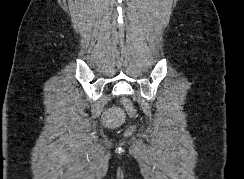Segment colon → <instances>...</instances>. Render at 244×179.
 Returning a JSON list of instances; mask_svg holds the SVG:
<instances>
[{"label": "colon", "instance_id": "colon-1", "mask_svg": "<svg viewBox=\"0 0 244 179\" xmlns=\"http://www.w3.org/2000/svg\"><path fill=\"white\" fill-rule=\"evenodd\" d=\"M123 104L125 105V107H127V112L129 115H134L135 117L139 116V111H138V107H132V102L130 101V99H123ZM128 134L130 133H138V126L137 125H130V127L128 128Z\"/></svg>", "mask_w": 244, "mask_h": 179}]
</instances>
